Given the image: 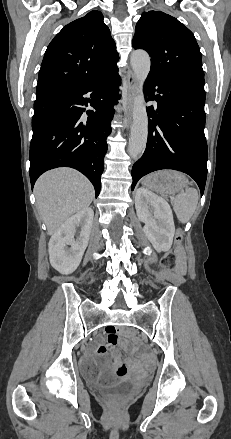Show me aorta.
Wrapping results in <instances>:
<instances>
[{"mask_svg":"<svg viewBox=\"0 0 231 439\" xmlns=\"http://www.w3.org/2000/svg\"><path fill=\"white\" fill-rule=\"evenodd\" d=\"M131 65L137 80V96L133 103V122L131 125L128 152L133 159H138L144 152L148 136V116L143 93V83L147 78L151 61L147 52L136 50L131 54Z\"/></svg>","mask_w":231,"mask_h":439,"instance_id":"762f6f07","label":"aorta"}]
</instances>
